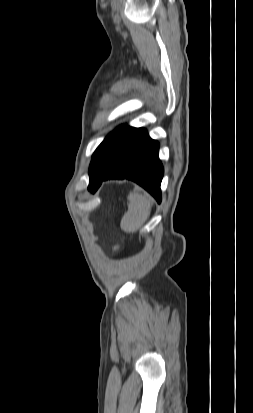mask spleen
Masks as SVG:
<instances>
[{"mask_svg":"<svg viewBox=\"0 0 253 413\" xmlns=\"http://www.w3.org/2000/svg\"><path fill=\"white\" fill-rule=\"evenodd\" d=\"M128 211L121 220V229L127 233L137 232L147 221L151 206L152 198L144 193H130L128 195Z\"/></svg>","mask_w":253,"mask_h":413,"instance_id":"1","label":"spleen"}]
</instances>
